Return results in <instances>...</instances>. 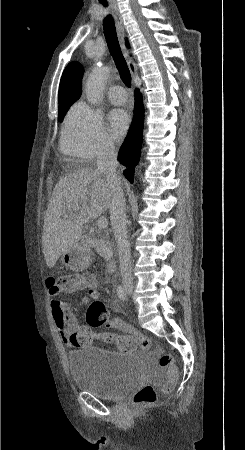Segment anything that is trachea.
I'll return each instance as SVG.
<instances>
[{
    "label": "trachea",
    "mask_w": 245,
    "mask_h": 450,
    "mask_svg": "<svg viewBox=\"0 0 245 450\" xmlns=\"http://www.w3.org/2000/svg\"><path fill=\"white\" fill-rule=\"evenodd\" d=\"M99 2L104 7L108 6V3L106 1L99 0ZM103 29H104V35H105V39H106L108 48H109L110 53L113 57V60L116 64V67L119 71L120 77L123 80V82L125 83V85L130 87L131 74H130L129 68L127 66V63L124 59V56L121 52V48H120L118 38H117L114 20H113V18H111V16H108L106 19H104Z\"/></svg>",
    "instance_id": "obj_1"
}]
</instances>
